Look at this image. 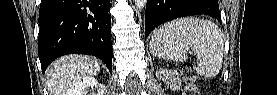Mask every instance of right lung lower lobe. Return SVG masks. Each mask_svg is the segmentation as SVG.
<instances>
[{
  "mask_svg": "<svg viewBox=\"0 0 277 95\" xmlns=\"http://www.w3.org/2000/svg\"><path fill=\"white\" fill-rule=\"evenodd\" d=\"M110 0H42L38 55L44 73L56 58L89 54L112 70Z\"/></svg>",
  "mask_w": 277,
  "mask_h": 95,
  "instance_id": "1",
  "label": "right lung lower lobe"
}]
</instances>
